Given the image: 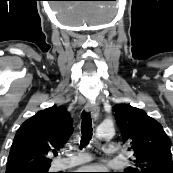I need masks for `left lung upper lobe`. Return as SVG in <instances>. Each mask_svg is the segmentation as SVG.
<instances>
[{
    "mask_svg": "<svg viewBox=\"0 0 173 173\" xmlns=\"http://www.w3.org/2000/svg\"><path fill=\"white\" fill-rule=\"evenodd\" d=\"M123 141L130 145L132 166L124 173H173L170 141L162 125L128 104L114 106Z\"/></svg>",
    "mask_w": 173,
    "mask_h": 173,
    "instance_id": "left-lung-upper-lobe-1",
    "label": "left lung upper lobe"
}]
</instances>
